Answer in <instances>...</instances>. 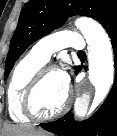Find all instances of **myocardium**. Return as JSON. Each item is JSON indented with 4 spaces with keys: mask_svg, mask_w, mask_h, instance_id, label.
I'll use <instances>...</instances> for the list:
<instances>
[{
    "mask_svg": "<svg viewBox=\"0 0 117 136\" xmlns=\"http://www.w3.org/2000/svg\"><path fill=\"white\" fill-rule=\"evenodd\" d=\"M54 71H60L57 66L55 65H44L41 69H39L33 78L31 79L30 83L25 89L22 101V111L26 116L36 121L44 122L50 121L53 119L58 118L61 116L71 105L72 102V92L69 88H67L66 98L62 104V106L54 113L50 115H40L35 111L34 108V97L36 91L46 76Z\"/></svg>",
    "mask_w": 117,
    "mask_h": 136,
    "instance_id": "f54148a6",
    "label": "myocardium"
}]
</instances>
